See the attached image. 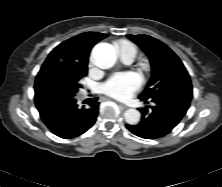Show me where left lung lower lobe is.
Returning a JSON list of instances; mask_svg holds the SVG:
<instances>
[{"label": "left lung lower lobe", "mask_w": 222, "mask_h": 187, "mask_svg": "<svg viewBox=\"0 0 222 187\" xmlns=\"http://www.w3.org/2000/svg\"><path fill=\"white\" fill-rule=\"evenodd\" d=\"M192 99V86H184L176 91H165L151 99L155 106L140 108L141 122L137 125H128L126 128L133 134L145 138L156 139L169 134L186 114ZM145 103H148L147 100Z\"/></svg>", "instance_id": "0a47b994"}]
</instances>
